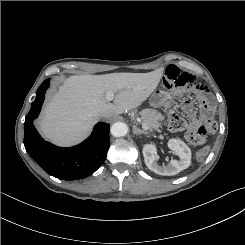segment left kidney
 I'll use <instances>...</instances> for the list:
<instances>
[{
	"label": "left kidney",
	"instance_id": "left-kidney-1",
	"mask_svg": "<svg viewBox=\"0 0 245 245\" xmlns=\"http://www.w3.org/2000/svg\"><path fill=\"white\" fill-rule=\"evenodd\" d=\"M168 147L179 156V160H171L167 166H160L158 155L156 154V146L153 144H145L143 146V156L146 166L156 174L164 176L176 175L182 170L187 169L191 164V150L179 139H170Z\"/></svg>",
	"mask_w": 245,
	"mask_h": 245
}]
</instances>
